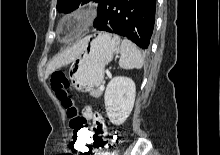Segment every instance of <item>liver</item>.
I'll list each match as a JSON object with an SVG mask.
<instances>
[{
  "label": "liver",
  "mask_w": 220,
  "mask_h": 155,
  "mask_svg": "<svg viewBox=\"0 0 220 155\" xmlns=\"http://www.w3.org/2000/svg\"><path fill=\"white\" fill-rule=\"evenodd\" d=\"M85 44V39L82 40L79 44L68 48L67 50L60 53L58 56L53 58V60L48 64L45 77L47 78L50 74H52L56 69L61 68L64 65H67L73 62L79 54L82 52Z\"/></svg>",
  "instance_id": "1"
}]
</instances>
